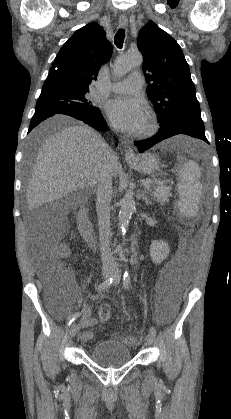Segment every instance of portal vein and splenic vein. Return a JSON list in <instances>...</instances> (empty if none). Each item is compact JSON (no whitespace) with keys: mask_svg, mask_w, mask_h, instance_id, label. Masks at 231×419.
<instances>
[{"mask_svg":"<svg viewBox=\"0 0 231 419\" xmlns=\"http://www.w3.org/2000/svg\"><path fill=\"white\" fill-rule=\"evenodd\" d=\"M147 187H148V188H151V186H149V185H147ZM160 188H166V186H164V185H163V183H160V186H158V187H154V190H155V189H160Z\"/></svg>","mask_w":231,"mask_h":419,"instance_id":"18ae733b","label":"portal vein and splenic vein"}]
</instances>
